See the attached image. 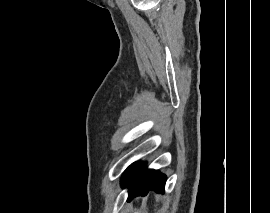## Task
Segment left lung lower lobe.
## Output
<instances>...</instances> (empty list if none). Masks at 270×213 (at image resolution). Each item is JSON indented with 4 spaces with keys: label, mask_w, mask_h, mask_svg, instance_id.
I'll use <instances>...</instances> for the list:
<instances>
[{
    "label": "left lung lower lobe",
    "mask_w": 270,
    "mask_h": 213,
    "mask_svg": "<svg viewBox=\"0 0 270 213\" xmlns=\"http://www.w3.org/2000/svg\"><path fill=\"white\" fill-rule=\"evenodd\" d=\"M166 176L153 169H146L144 163H134L122 176L121 183L129 187L128 201L136 196H145L149 190L164 191Z\"/></svg>",
    "instance_id": "obj_1"
}]
</instances>
